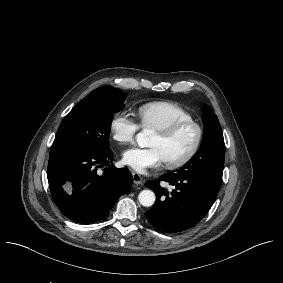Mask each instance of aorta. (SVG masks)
I'll return each mask as SVG.
<instances>
[{
	"mask_svg": "<svg viewBox=\"0 0 283 283\" xmlns=\"http://www.w3.org/2000/svg\"><path fill=\"white\" fill-rule=\"evenodd\" d=\"M151 136L152 131L144 129L142 132L137 134L136 141L140 147H148L150 146ZM138 200L142 206L151 207L155 203L156 196L152 190L146 189L139 193Z\"/></svg>",
	"mask_w": 283,
	"mask_h": 283,
	"instance_id": "obj_1",
	"label": "aorta"
}]
</instances>
